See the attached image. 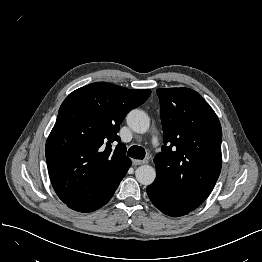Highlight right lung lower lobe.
<instances>
[{"instance_id":"98d812e1","label":"right lung lower lobe","mask_w":262,"mask_h":262,"mask_svg":"<svg viewBox=\"0 0 262 262\" xmlns=\"http://www.w3.org/2000/svg\"><path fill=\"white\" fill-rule=\"evenodd\" d=\"M111 197H109L107 200L101 203H98V204L82 205V206H68V207L73 210L79 211V212H92L104 206L110 200Z\"/></svg>"}]
</instances>
